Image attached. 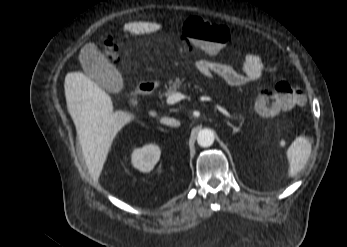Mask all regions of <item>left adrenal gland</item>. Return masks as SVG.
Listing matches in <instances>:
<instances>
[{"mask_svg": "<svg viewBox=\"0 0 347 247\" xmlns=\"http://www.w3.org/2000/svg\"><path fill=\"white\" fill-rule=\"evenodd\" d=\"M243 121H241L239 123V127H235L234 125H232L229 121H227V125H229L232 129H233V133L236 134L237 132L240 131V127L242 126Z\"/></svg>", "mask_w": 347, "mask_h": 247, "instance_id": "left-adrenal-gland-1", "label": "left adrenal gland"}]
</instances>
